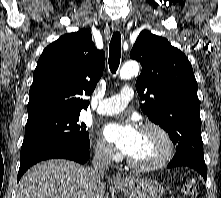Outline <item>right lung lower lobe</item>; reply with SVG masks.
<instances>
[{"instance_id":"obj_1","label":"right lung lower lobe","mask_w":221,"mask_h":198,"mask_svg":"<svg viewBox=\"0 0 221 198\" xmlns=\"http://www.w3.org/2000/svg\"><path fill=\"white\" fill-rule=\"evenodd\" d=\"M90 157V147L67 142L49 143L30 150L21 156L18 181L25 171L39 161L63 158L85 163Z\"/></svg>"}]
</instances>
